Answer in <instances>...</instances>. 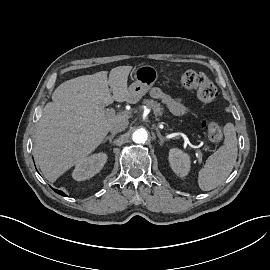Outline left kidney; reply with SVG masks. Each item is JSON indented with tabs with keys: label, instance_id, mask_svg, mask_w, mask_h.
Instances as JSON below:
<instances>
[{
	"label": "left kidney",
	"instance_id": "left-kidney-1",
	"mask_svg": "<svg viewBox=\"0 0 270 270\" xmlns=\"http://www.w3.org/2000/svg\"><path fill=\"white\" fill-rule=\"evenodd\" d=\"M169 163L172 170L182 177L186 176L190 170V158L188 154L177 148L169 151Z\"/></svg>",
	"mask_w": 270,
	"mask_h": 270
}]
</instances>
